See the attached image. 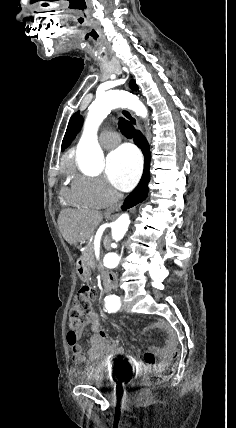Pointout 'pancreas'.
<instances>
[{"label":"pancreas","instance_id":"obj_1","mask_svg":"<svg viewBox=\"0 0 236 428\" xmlns=\"http://www.w3.org/2000/svg\"><path fill=\"white\" fill-rule=\"evenodd\" d=\"M82 258L86 264H89V266H94V244H89L88 248L82 252Z\"/></svg>","mask_w":236,"mask_h":428}]
</instances>
